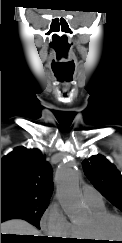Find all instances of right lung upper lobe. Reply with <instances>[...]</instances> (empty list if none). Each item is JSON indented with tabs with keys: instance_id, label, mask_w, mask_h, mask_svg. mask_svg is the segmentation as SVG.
<instances>
[{
	"instance_id": "cb5924a9",
	"label": "right lung upper lobe",
	"mask_w": 122,
	"mask_h": 243,
	"mask_svg": "<svg viewBox=\"0 0 122 243\" xmlns=\"http://www.w3.org/2000/svg\"><path fill=\"white\" fill-rule=\"evenodd\" d=\"M51 194L52 170L40 150L17 147L1 159V196L49 200Z\"/></svg>"
}]
</instances>
